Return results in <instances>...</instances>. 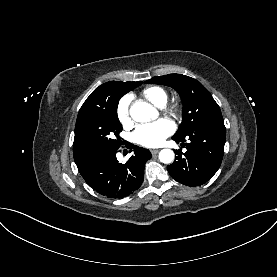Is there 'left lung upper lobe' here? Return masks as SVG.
<instances>
[{
  "mask_svg": "<svg viewBox=\"0 0 277 277\" xmlns=\"http://www.w3.org/2000/svg\"><path fill=\"white\" fill-rule=\"evenodd\" d=\"M146 83L170 86L182 98L184 105L183 120L172 138H185L202 123L222 117L220 108L212 95L194 78L181 74H168L153 77L147 80Z\"/></svg>",
  "mask_w": 277,
  "mask_h": 277,
  "instance_id": "1",
  "label": "left lung upper lobe"
}]
</instances>
